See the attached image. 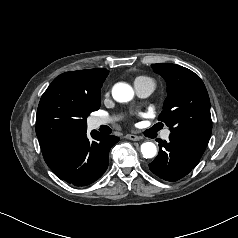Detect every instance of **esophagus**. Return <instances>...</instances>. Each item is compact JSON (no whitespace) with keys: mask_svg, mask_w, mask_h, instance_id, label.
<instances>
[{"mask_svg":"<svg viewBox=\"0 0 238 238\" xmlns=\"http://www.w3.org/2000/svg\"><path fill=\"white\" fill-rule=\"evenodd\" d=\"M125 138L132 141H139L141 139L139 136L134 134H127Z\"/></svg>","mask_w":238,"mask_h":238,"instance_id":"obj_1","label":"esophagus"}]
</instances>
